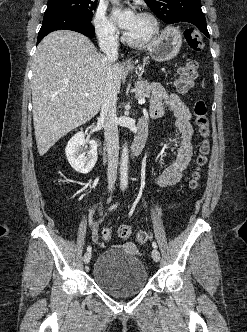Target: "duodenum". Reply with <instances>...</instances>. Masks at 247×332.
I'll return each mask as SVG.
<instances>
[{
    "mask_svg": "<svg viewBox=\"0 0 247 332\" xmlns=\"http://www.w3.org/2000/svg\"><path fill=\"white\" fill-rule=\"evenodd\" d=\"M147 136L148 130L146 119L141 118L138 123V133L129 149L131 156H137L143 151V148L146 144Z\"/></svg>",
    "mask_w": 247,
    "mask_h": 332,
    "instance_id": "1",
    "label": "duodenum"
}]
</instances>
